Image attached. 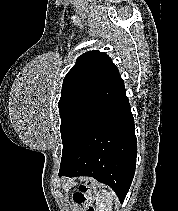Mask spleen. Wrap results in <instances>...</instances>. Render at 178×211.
I'll list each match as a JSON object with an SVG mask.
<instances>
[{
  "label": "spleen",
  "mask_w": 178,
  "mask_h": 211,
  "mask_svg": "<svg viewBox=\"0 0 178 211\" xmlns=\"http://www.w3.org/2000/svg\"><path fill=\"white\" fill-rule=\"evenodd\" d=\"M115 193L113 191L100 190L96 197L97 211H112Z\"/></svg>",
  "instance_id": "spleen-1"
}]
</instances>
